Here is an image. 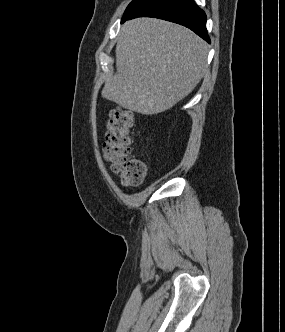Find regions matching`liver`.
<instances>
[{
	"instance_id": "6515ba94",
	"label": "liver",
	"mask_w": 285,
	"mask_h": 332,
	"mask_svg": "<svg viewBox=\"0 0 285 332\" xmlns=\"http://www.w3.org/2000/svg\"><path fill=\"white\" fill-rule=\"evenodd\" d=\"M208 46L186 27L138 18L121 27L116 74L102 96L143 115L162 113L193 91L207 70Z\"/></svg>"
}]
</instances>
